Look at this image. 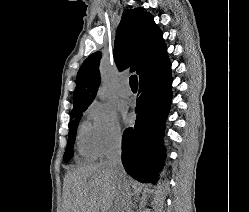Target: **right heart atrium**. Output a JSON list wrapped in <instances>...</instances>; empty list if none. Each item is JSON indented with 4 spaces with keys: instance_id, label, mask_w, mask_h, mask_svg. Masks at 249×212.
I'll return each instance as SVG.
<instances>
[{
    "instance_id": "1",
    "label": "right heart atrium",
    "mask_w": 249,
    "mask_h": 212,
    "mask_svg": "<svg viewBox=\"0 0 249 212\" xmlns=\"http://www.w3.org/2000/svg\"><path fill=\"white\" fill-rule=\"evenodd\" d=\"M84 115L88 122L89 141L95 157L105 158L121 146L123 132L111 108L94 101L86 108Z\"/></svg>"
}]
</instances>
